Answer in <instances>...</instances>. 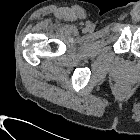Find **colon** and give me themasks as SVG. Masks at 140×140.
Listing matches in <instances>:
<instances>
[{
  "label": "colon",
  "mask_w": 140,
  "mask_h": 140,
  "mask_svg": "<svg viewBox=\"0 0 140 140\" xmlns=\"http://www.w3.org/2000/svg\"><path fill=\"white\" fill-rule=\"evenodd\" d=\"M129 89V84L126 81H119L115 86V90L118 94H126Z\"/></svg>",
  "instance_id": "5ec220e1"
}]
</instances>
